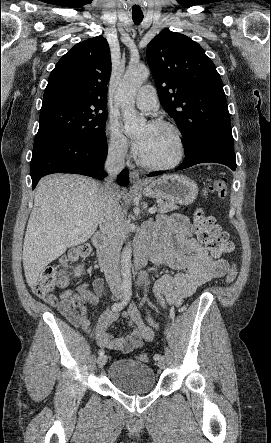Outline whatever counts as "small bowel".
Masks as SVG:
<instances>
[{"mask_svg":"<svg viewBox=\"0 0 271 443\" xmlns=\"http://www.w3.org/2000/svg\"><path fill=\"white\" fill-rule=\"evenodd\" d=\"M155 263H162L172 268L175 273L162 276L154 286V295L161 304L179 306L184 299L207 282L220 278L228 270V262L209 253L191 234L186 217L174 215L162 227L160 242L153 252ZM93 290L87 283H81L75 289H65L59 300L54 296L45 298V302L63 315L72 325L90 334L103 349L117 350L128 354L140 347L143 342L151 341L157 322L149 315L142 317L139 308L131 305L122 316L127 320L129 331L114 337L110 328L119 320L117 312L107 311L94 328L90 327L87 303L96 304L105 294V285L101 278L93 280Z\"/></svg>","mask_w":271,"mask_h":443,"instance_id":"c3829d8e","label":"small bowel"}]
</instances>
